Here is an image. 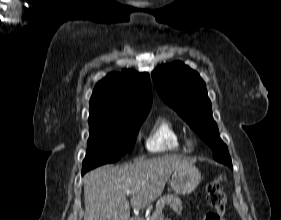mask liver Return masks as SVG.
<instances>
[{
	"instance_id": "6515ba94",
	"label": "liver",
	"mask_w": 281,
	"mask_h": 220,
	"mask_svg": "<svg viewBox=\"0 0 281 220\" xmlns=\"http://www.w3.org/2000/svg\"><path fill=\"white\" fill-rule=\"evenodd\" d=\"M194 160L175 155L139 160L121 166L105 165L88 172L84 184V220H129L131 206L143 209L163 192L170 175L193 165Z\"/></svg>"
}]
</instances>
